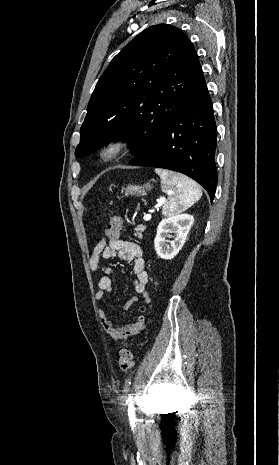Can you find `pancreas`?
<instances>
[{"instance_id":"cf45deb5","label":"pancreas","mask_w":279,"mask_h":465,"mask_svg":"<svg viewBox=\"0 0 279 465\" xmlns=\"http://www.w3.org/2000/svg\"><path fill=\"white\" fill-rule=\"evenodd\" d=\"M146 229V226L145 225H139L137 226L134 230H135V233H134V236H138L139 238H142V233L144 232V230Z\"/></svg>"}]
</instances>
